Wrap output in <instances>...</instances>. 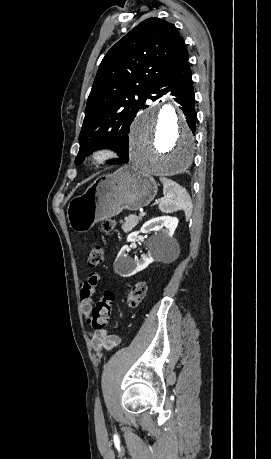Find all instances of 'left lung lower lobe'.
I'll return each instance as SVG.
<instances>
[{"label":"left lung lower lobe","instance_id":"1","mask_svg":"<svg viewBox=\"0 0 271 459\" xmlns=\"http://www.w3.org/2000/svg\"><path fill=\"white\" fill-rule=\"evenodd\" d=\"M167 86L166 89L159 90L161 87ZM171 91V94L175 96L174 99L179 105L185 119L195 134V123L197 114L195 111V95L193 90L192 72L190 63L188 60L179 67L172 75L165 79L155 90H153L148 97L149 99L156 101L161 97L164 92ZM144 105L142 109H144ZM129 160V156H125L114 164L126 163Z\"/></svg>","mask_w":271,"mask_h":459}]
</instances>
